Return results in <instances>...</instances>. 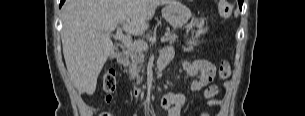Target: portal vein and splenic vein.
Instances as JSON below:
<instances>
[{"label":"portal vein and splenic vein","instance_id":"obj_1","mask_svg":"<svg viewBox=\"0 0 305 116\" xmlns=\"http://www.w3.org/2000/svg\"><path fill=\"white\" fill-rule=\"evenodd\" d=\"M109 36V34H108ZM115 39H118L124 43V45L130 49H138L142 51H147L148 50V45L145 41H135L133 42L130 37L125 36L121 28L117 29L116 35L114 36ZM167 38L166 37H161V42H166Z\"/></svg>","mask_w":305,"mask_h":116}]
</instances>
